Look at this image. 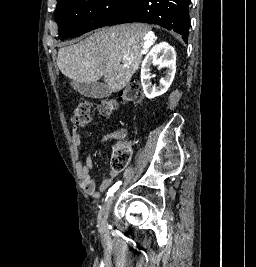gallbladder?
<instances>
[{
	"label": "gallbladder",
	"mask_w": 256,
	"mask_h": 267,
	"mask_svg": "<svg viewBox=\"0 0 256 267\" xmlns=\"http://www.w3.org/2000/svg\"><path fill=\"white\" fill-rule=\"evenodd\" d=\"M70 86H72L75 92H79L81 96L85 98H108L111 96L112 92L105 86V84H100V82H76V80H70Z\"/></svg>",
	"instance_id": "1"
}]
</instances>
